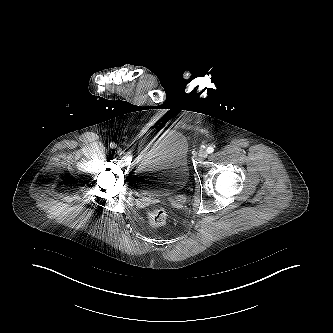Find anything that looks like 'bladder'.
<instances>
[{"instance_id":"31cf9c89","label":"bladder","mask_w":333,"mask_h":333,"mask_svg":"<svg viewBox=\"0 0 333 333\" xmlns=\"http://www.w3.org/2000/svg\"><path fill=\"white\" fill-rule=\"evenodd\" d=\"M189 141L180 130L164 134L139 160L134 172L136 189L149 196H169L189 180Z\"/></svg>"}]
</instances>
